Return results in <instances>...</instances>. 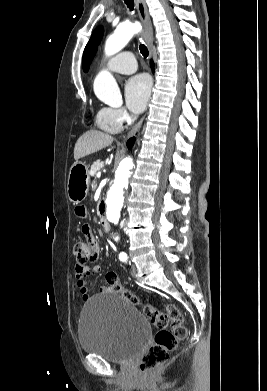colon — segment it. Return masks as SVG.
Returning a JSON list of instances; mask_svg holds the SVG:
<instances>
[{
	"mask_svg": "<svg viewBox=\"0 0 267 391\" xmlns=\"http://www.w3.org/2000/svg\"><path fill=\"white\" fill-rule=\"evenodd\" d=\"M73 253L77 266H88L97 258V243L94 239H77L73 244ZM106 282L109 291L121 295L133 305H142L145 315L157 329L153 344L145 352L139 364L141 373L149 375L169 360L179 341L186 337L187 330L183 323V316L174 305H167L165 310L161 311L143 302L136 294L122 286L115 271L106 274ZM169 325L171 330L168 329Z\"/></svg>",
	"mask_w": 267,
	"mask_h": 391,
	"instance_id": "1",
	"label": "colon"
}]
</instances>
